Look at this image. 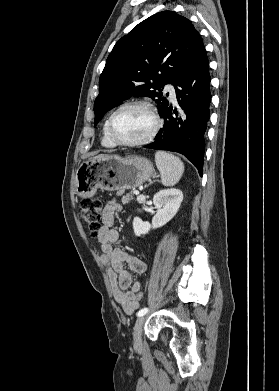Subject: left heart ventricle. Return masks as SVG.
I'll return each instance as SVG.
<instances>
[{"mask_svg":"<svg viewBox=\"0 0 279 391\" xmlns=\"http://www.w3.org/2000/svg\"><path fill=\"white\" fill-rule=\"evenodd\" d=\"M153 127L148 111L129 107L117 113L113 121V133L121 141H135L144 138Z\"/></svg>","mask_w":279,"mask_h":391,"instance_id":"b2bd125f","label":"left heart ventricle"}]
</instances>
